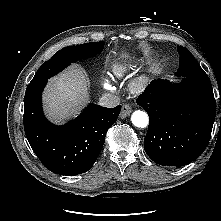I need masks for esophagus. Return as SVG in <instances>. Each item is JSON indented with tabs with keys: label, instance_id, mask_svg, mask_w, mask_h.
Returning a JSON list of instances; mask_svg holds the SVG:
<instances>
[{
	"label": "esophagus",
	"instance_id": "esophagus-1",
	"mask_svg": "<svg viewBox=\"0 0 221 221\" xmlns=\"http://www.w3.org/2000/svg\"><path fill=\"white\" fill-rule=\"evenodd\" d=\"M132 112V108L128 104H124L121 109L120 117L126 118Z\"/></svg>",
	"mask_w": 221,
	"mask_h": 221
}]
</instances>
